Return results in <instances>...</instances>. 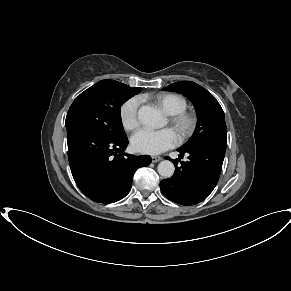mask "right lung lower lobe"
<instances>
[{"label":"right lung lower lobe","mask_w":291,"mask_h":291,"mask_svg":"<svg viewBox=\"0 0 291 291\" xmlns=\"http://www.w3.org/2000/svg\"><path fill=\"white\" fill-rule=\"evenodd\" d=\"M68 158L79 189L91 200L110 204L130 191L135 171L151 163L150 156L123 151L127 137L107 139L82 129L67 130Z\"/></svg>","instance_id":"right-lung-lower-lobe-1"}]
</instances>
